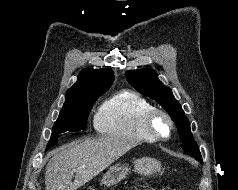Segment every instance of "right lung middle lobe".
Masks as SVG:
<instances>
[{
    "mask_svg": "<svg viewBox=\"0 0 238 190\" xmlns=\"http://www.w3.org/2000/svg\"><path fill=\"white\" fill-rule=\"evenodd\" d=\"M102 95L81 96L71 104H64L56 120L46 151L57 143L58 134L66 131H80L87 128V119L93 103Z\"/></svg>",
    "mask_w": 238,
    "mask_h": 190,
    "instance_id": "dd1d6c3e",
    "label": "right lung middle lobe"
}]
</instances>
